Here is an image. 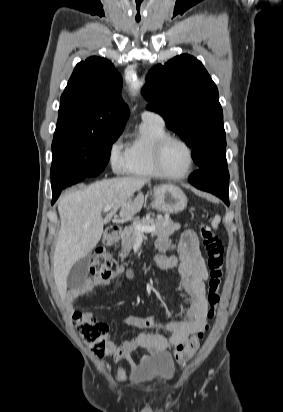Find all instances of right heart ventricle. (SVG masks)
<instances>
[{
  "mask_svg": "<svg viewBox=\"0 0 283 412\" xmlns=\"http://www.w3.org/2000/svg\"><path fill=\"white\" fill-rule=\"evenodd\" d=\"M166 135L164 125L144 121L140 133L126 147L123 171L130 175L157 176L153 161L154 147Z\"/></svg>",
  "mask_w": 283,
  "mask_h": 412,
  "instance_id": "e07e8e85",
  "label": "right heart ventricle"
}]
</instances>
